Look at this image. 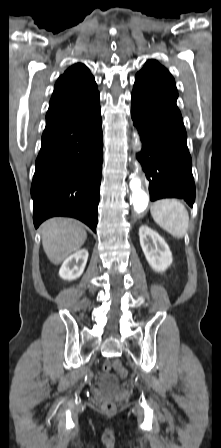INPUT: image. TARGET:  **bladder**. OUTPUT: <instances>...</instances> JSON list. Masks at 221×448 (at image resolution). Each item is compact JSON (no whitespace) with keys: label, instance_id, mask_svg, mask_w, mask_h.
Instances as JSON below:
<instances>
[{"label":"bladder","instance_id":"31cf9c89","mask_svg":"<svg viewBox=\"0 0 221 448\" xmlns=\"http://www.w3.org/2000/svg\"><path fill=\"white\" fill-rule=\"evenodd\" d=\"M116 386H117V379L112 375H107L102 379L99 389L107 396L113 397Z\"/></svg>","mask_w":221,"mask_h":448}]
</instances>
